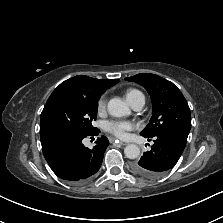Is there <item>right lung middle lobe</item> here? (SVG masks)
Here are the masks:
<instances>
[{"label": "right lung middle lobe", "instance_id": "dd1d6c3e", "mask_svg": "<svg viewBox=\"0 0 223 223\" xmlns=\"http://www.w3.org/2000/svg\"><path fill=\"white\" fill-rule=\"evenodd\" d=\"M100 96L65 90L52 93L40 117V135L56 131L91 133Z\"/></svg>", "mask_w": 223, "mask_h": 223}]
</instances>
